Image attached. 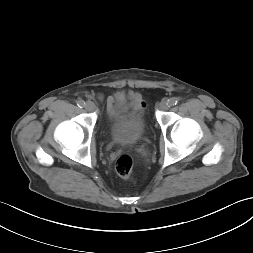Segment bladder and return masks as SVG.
I'll use <instances>...</instances> for the list:
<instances>
[{
	"label": "bladder",
	"instance_id": "31cf9c89",
	"mask_svg": "<svg viewBox=\"0 0 253 253\" xmlns=\"http://www.w3.org/2000/svg\"><path fill=\"white\" fill-rule=\"evenodd\" d=\"M146 122L140 110L126 112L110 127V137L115 144L134 145L144 136Z\"/></svg>",
	"mask_w": 253,
	"mask_h": 253
}]
</instances>
